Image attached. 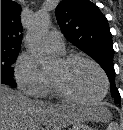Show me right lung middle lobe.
<instances>
[{
  "mask_svg": "<svg viewBox=\"0 0 123 130\" xmlns=\"http://www.w3.org/2000/svg\"><path fill=\"white\" fill-rule=\"evenodd\" d=\"M19 50H1V82H5L13 87L16 83L13 80L12 64L18 56Z\"/></svg>",
  "mask_w": 123,
  "mask_h": 130,
  "instance_id": "obj_1",
  "label": "right lung middle lobe"
}]
</instances>
